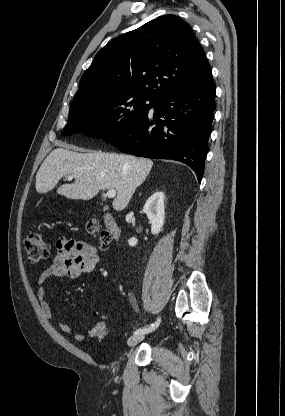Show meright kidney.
I'll list each match as a JSON object with an SVG mask.
<instances>
[{"label": "right kidney", "mask_w": 285, "mask_h": 416, "mask_svg": "<svg viewBox=\"0 0 285 416\" xmlns=\"http://www.w3.org/2000/svg\"><path fill=\"white\" fill-rule=\"evenodd\" d=\"M143 212L147 214V218L151 222L152 234H160L165 216L163 192H155L151 198H148L143 208ZM128 244L129 246H136V244H138L137 238H130Z\"/></svg>", "instance_id": "ca27d5eb"}]
</instances>
